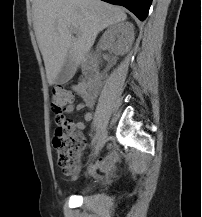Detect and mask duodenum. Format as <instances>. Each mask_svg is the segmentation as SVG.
<instances>
[{"mask_svg": "<svg viewBox=\"0 0 202 217\" xmlns=\"http://www.w3.org/2000/svg\"><path fill=\"white\" fill-rule=\"evenodd\" d=\"M87 65V82L85 84L86 90L90 94H94L98 92L100 81L98 78V72L90 66V61H86Z\"/></svg>", "mask_w": 202, "mask_h": 217, "instance_id": "410a0bca", "label": "duodenum"}]
</instances>
